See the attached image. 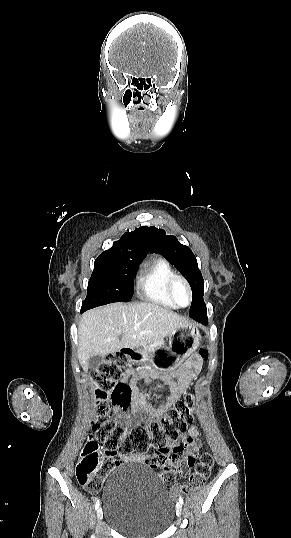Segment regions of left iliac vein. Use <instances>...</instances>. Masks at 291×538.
<instances>
[{
    "label": "left iliac vein",
    "mask_w": 291,
    "mask_h": 538,
    "mask_svg": "<svg viewBox=\"0 0 291 538\" xmlns=\"http://www.w3.org/2000/svg\"><path fill=\"white\" fill-rule=\"evenodd\" d=\"M176 514L178 517H180L182 514V505L180 503L176 505Z\"/></svg>",
    "instance_id": "obj_1"
}]
</instances>
